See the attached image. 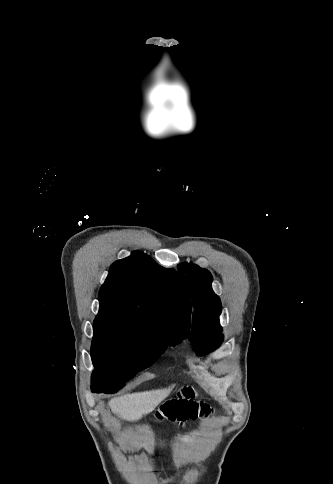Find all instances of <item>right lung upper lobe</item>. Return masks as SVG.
I'll list each match as a JSON object with an SVG mask.
<instances>
[{
  "label": "right lung upper lobe",
  "mask_w": 333,
  "mask_h": 484,
  "mask_svg": "<svg viewBox=\"0 0 333 484\" xmlns=\"http://www.w3.org/2000/svg\"><path fill=\"white\" fill-rule=\"evenodd\" d=\"M99 301L97 317L130 319L156 329L175 324L186 335L190 328L191 305L181 278L141 251L112 264Z\"/></svg>",
  "instance_id": "1"
}]
</instances>
